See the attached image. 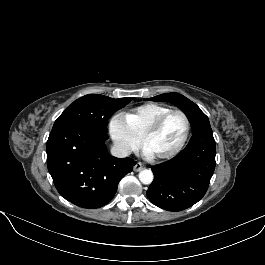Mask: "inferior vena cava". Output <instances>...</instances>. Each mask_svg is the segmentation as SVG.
<instances>
[{
    "label": "inferior vena cava",
    "mask_w": 265,
    "mask_h": 265,
    "mask_svg": "<svg viewBox=\"0 0 265 265\" xmlns=\"http://www.w3.org/2000/svg\"><path fill=\"white\" fill-rule=\"evenodd\" d=\"M111 154L117 158H125L131 154V149L122 142H114L111 147Z\"/></svg>",
    "instance_id": "obj_1"
}]
</instances>
